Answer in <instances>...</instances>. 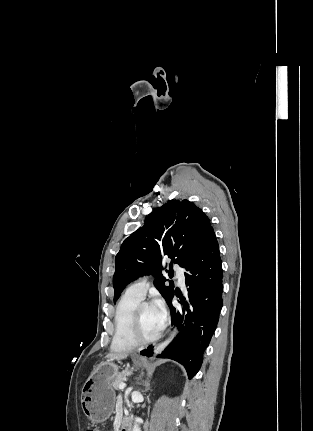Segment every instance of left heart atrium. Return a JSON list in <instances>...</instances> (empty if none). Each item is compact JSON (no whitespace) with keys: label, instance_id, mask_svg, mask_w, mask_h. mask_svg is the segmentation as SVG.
Masks as SVG:
<instances>
[{"label":"left heart atrium","instance_id":"left-heart-atrium-1","mask_svg":"<svg viewBox=\"0 0 313 431\" xmlns=\"http://www.w3.org/2000/svg\"><path fill=\"white\" fill-rule=\"evenodd\" d=\"M152 311L155 315L157 326L161 330L166 322V308L164 302L160 298H156L151 304Z\"/></svg>","mask_w":313,"mask_h":431}]
</instances>
